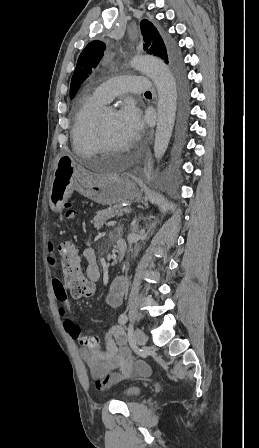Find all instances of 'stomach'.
<instances>
[{"instance_id":"0dacf381","label":"stomach","mask_w":259,"mask_h":448,"mask_svg":"<svg viewBox=\"0 0 259 448\" xmlns=\"http://www.w3.org/2000/svg\"><path fill=\"white\" fill-rule=\"evenodd\" d=\"M76 166L69 154L58 158L49 194V206L53 212H61L64 202L71 196L76 182Z\"/></svg>"}]
</instances>
